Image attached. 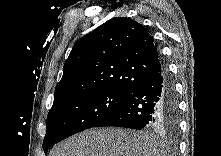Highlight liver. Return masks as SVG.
I'll use <instances>...</instances> for the list:
<instances>
[{"mask_svg": "<svg viewBox=\"0 0 221 156\" xmlns=\"http://www.w3.org/2000/svg\"><path fill=\"white\" fill-rule=\"evenodd\" d=\"M165 144L145 131L92 128L53 147L49 156H165Z\"/></svg>", "mask_w": 221, "mask_h": 156, "instance_id": "obj_1", "label": "liver"}]
</instances>
